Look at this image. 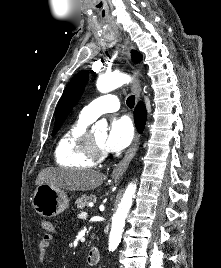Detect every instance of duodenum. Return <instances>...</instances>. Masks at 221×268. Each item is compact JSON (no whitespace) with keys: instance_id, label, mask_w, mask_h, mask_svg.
<instances>
[{"instance_id":"410a0bca","label":"duodenum","mask_w":221,"mask_h":268,"mask_svg":"<svg viewBox=\"0 0 221 268\" xmlns=\"http://www.w3.org/2000/svg\"><path fill=\"white\" fill-rule=\"evenodd\" d=\"M100 250L97 247H92L87 253V262L89 265H96L100 261Z\"/></svg>"}]
</instances>
